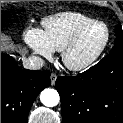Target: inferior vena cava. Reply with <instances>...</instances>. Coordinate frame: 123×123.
<instances>
[{
    "label": "inferior vena cava",
    "instance_id": "obj_1",
    "mask_svg": "<svg viewBox=\"0 0 123 123\" xmlns=\"http://www.w3.org/2000/svg\"><path fill=\"white\" fill-rule=\"evenodd\" d=\"M44 65V60L38 56H30L23 60V67L30 70H40Z\"/></svg>",
    "mask_w": 123,
    "mask_h": 123
}]
</instances>
